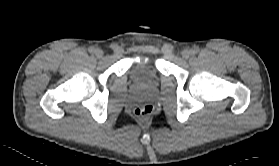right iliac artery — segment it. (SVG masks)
<instances>
[{
	"label": "right iliac artery",
	"mask_w": 279,
	"mask_h": 166,
	"mask_svg": "<svg viewBox=\"0 0 279 166\" xmlns=\"http://www.w3.org/2000/svg\"><path fill=\"white\" fill-rule=\"evenodd\" d=\"M89 52H90V53H94V52H95V48H94V47H90V48H89Z\"/></svg>",
	"instance_id": "82829eb1"
}]
</instances>
